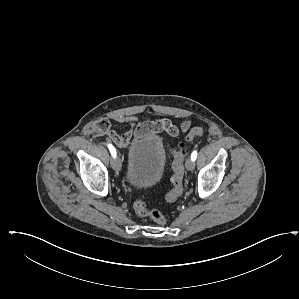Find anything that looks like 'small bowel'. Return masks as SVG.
Listing matches in <instances>:
<instances>
[{
  "label": "small bowel",
  "instance_id": "c3829d8e",
  "mask_svg": "<svg viewBox=\"0 0 299 299\" xmlns=\"http://www.w3.org/2000/svg\"><path fill=\"white\" fill-rule=\"evenodd\" d=\"M114 121L125 124L128 127V130L123 134H119L118 131L110 125L108 130L105 131L108 138L120 148H126L132 136L140 137L151 132L165 131L170 136L176 137L180 133L186 132L191 126V120L189 118L183 119L178 125L169 120L140 124L137 117L124 115L115 116Z\"/></svg>",
  "mask_w": 299,
  "mask_h": 299
}]
</instances>
